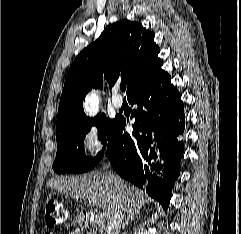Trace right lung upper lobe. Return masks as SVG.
<instances>
[{
    "instance_id": "cb5924a9",
    "label": "right lung upper lobe",
    "mask_w": 241,
    "mask_h": 234,
    "mask_svg": "<svg viewBox=\"0 0 241 234\" xmlns=\"http://www.w3.org/2000/svg\"><path fill=\"white\" fill-rule=\"evenodd\" d=\"M154 37L153 31L127 19L107 26L101 36L77 56L67 73L56 132L88 118L83 100L92 88H102V75L109 86L125 81L127 96L152 77L162 65Z\"/></svg>"
}]
</instances>
